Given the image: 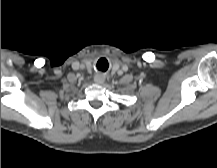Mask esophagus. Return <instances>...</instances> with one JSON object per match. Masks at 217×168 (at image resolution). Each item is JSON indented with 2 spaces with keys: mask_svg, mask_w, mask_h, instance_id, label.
I'll return each mask as SVG.
<instances>
[{
  "mask_svg": "<svg viewBox=\"0 0 217 168\" xmlns=\"http://www.w3.org/2000/svg\"><path fill=\"white\" fill-rule=\"evenodd\" d=\"M104 80H105V77L101 73H98L94 76V82L97 84H102L104 82Z\"/></svg>",
  "mask_w": 217,
  "mask_h": 168,
  "instance_id": "34e87169",
  "label": "esophagus"
}]
</instances>
